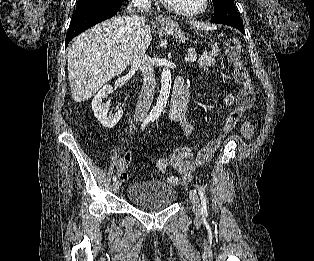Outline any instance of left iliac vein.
Wrapping results in <instances>:
<instances>
[{
  "instance_id": "1",
  "label": "left iliac vein",
  "mask_w": 314,
  "mask_h": 261,
  "mask_svg": "<svg viewBox=\"0 0 314 261\" xmlns=\"http://www.w3.org/2000/svg\"><path fill=\"white\" fill-rule=\"evenodd\" d=\"M189 199L192 203L193 211L196 217L200 218L201 217V204H200V200L198 198L197 193L193 189L189 190Z\"/></svg>"
}]
</instances>
